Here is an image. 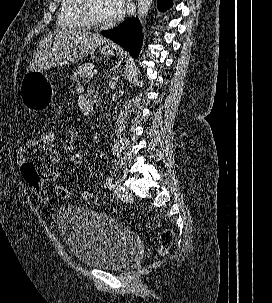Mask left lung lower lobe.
<instances>
[{
    "instance_id": "left-lung-lower-lobe-1",
    "label": "left lung lower lobe",
    "mask_w": 272,
    "mask_h": 303,
    "mask_svg": "<svg viewBox=\"0 0 272 303\" xmlns=\"http://www.w3.org/2000/svg\"><path fill=\"white\" fill-rule=\"evenodd\" d=\"M158 9L165 11L172 6V0H158ZM101 34L125 48L134 58L138 57L142 44L141 25L137 18H131L118 27L102 31Z\"/></svg>"
}]
</instances>
